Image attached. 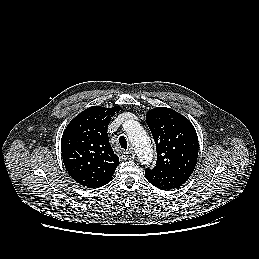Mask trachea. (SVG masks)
<instances>
[{
  "instance_id": "1",
  "label": "trachea",
  "mask_w": 259,
  "mask_h": 259,
  "mask_svg": "<svg viewBox=\"0 0 259 259\" xmlns=\"http://www.w3.org/2000/svg\"><path fill=\"white\" fill-rule=\"evenodd\" d=\"M118 143H119L120 148L125 149V150L127 149V141L124 136H121L119 138Z\"/></svg>"
}]
</instances>
